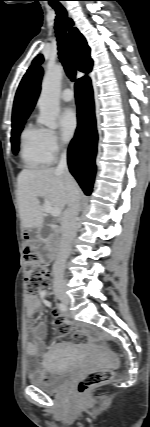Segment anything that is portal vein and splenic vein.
<instances>
[{
    "mask_svg": "<svg viewBox=\"0 0 150 427\" xmlns=\"http://www.w3.org/2000/svg\"><path fill=\"white\" fill-rule=\"evenodd\" d=\"M44 210L45 212L51 214L54 217H58L61 214V209L58 207H52L47 200H45L44 202Z\"/></svg>",
    "mask_w": 150,
    "mask_h": 427,
    "instance_id": "portal-vein-and-splenic-vein-1",
    "label": "portal vein and splenic vein"
}]
</instances>
